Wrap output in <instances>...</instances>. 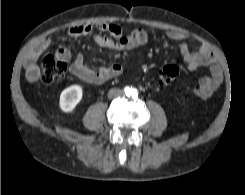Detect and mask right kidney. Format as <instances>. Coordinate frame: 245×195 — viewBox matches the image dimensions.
Returning <instances> with one entry per match:
<instances>
[{
    "label": "right kidney",
    "mask_w": 245,
    "mask_h": 195,
    "mask_svg": "<svg viewBox=\"0 0 245 195\" xmlns=\"http://www.w3.org/2000/svg\"><path fill=\"white\" fill-rule=\"evenodd\" d=\"M83 96V88L80 85H71L61 92L59 107L65 113L72 112Z\"/></svg>",
    "instance_id": "ca27d5eb"
}]
</instances>
